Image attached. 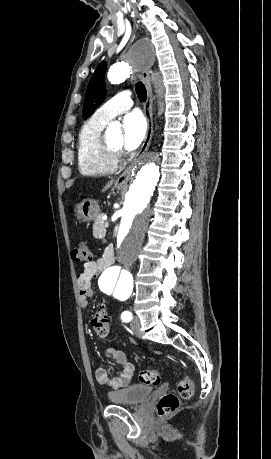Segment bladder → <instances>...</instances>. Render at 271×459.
Returning <instances> with one entry per match:
<instances>
[{
    "label": "bladder",
    "instance_id": "1",
    "mask_svg": "<svg viewBox=\"0 0 271 459\" xmlns=\"http://www.w3.org/2000/svg\"><path fill=\"white\" fill-rule=\"evenodd\" d=\"M152 393V385L136 384L109 392L108 398L115 401V404L138 405L143 403Z\"/></svg>",
    "mask_w": 271,
    "mask_h": 459
}]
</instances>
